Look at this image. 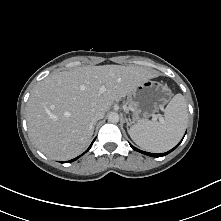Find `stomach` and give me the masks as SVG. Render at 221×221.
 Here are the masks:
<instances>
[{
	"instance_id": "obj_1",
	"label": "stomach",
	"mask_w": 221,
	"mask_h": 221,
	"mask_svg": "<svg viewBox=\"0 0 221 221\" xmlns=\"http://www.w3.org/2000/svg\"><path fill=\"white\" fill-rule=\"evenodd\" d=\"M171 96L172 92L166 84L149 79L140 83L128 98L133 119L138 122L153 116Z\"/></svg>"
}]
</instances>
